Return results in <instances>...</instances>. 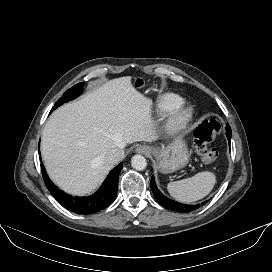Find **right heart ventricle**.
<instances>
[{"instance_id": "e07e8e85", "label": "right heart ventricle", "mask_w": 272, "mask_h": 272, "mask_svg": "<svg viewBox=\"0 0 272 272\" xmlns=\"http://www.w3.org/2000/svg\"><path fill=\"white\" fill-rule=\"evenodd\" d=\"M183 103V98L174 93H168L161 96L156 102V111L161 115H165L174 110Z\"/></svg>"}]
</instances>
